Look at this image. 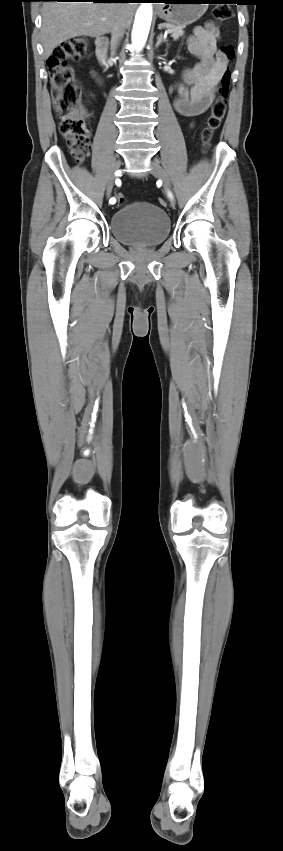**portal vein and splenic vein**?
<instances>
[{
    "label": "portal vein and splenic vein",
    "mask_w": 283,
    "mask_h": 851,
    "mask_svg": "<svg viewBox=\"0 0 283 851\" xmlns=\"http://www.w3.org/2000/svg\"><path fill=\"white\" fill-rule=\"evenodd\" d=\"M102 20H105V18H102ZM167 33H170V30H168Z\"/></svg>",
    "instance_id": "portal-vein-and-splenic-vein-1"
}]
</instances>
